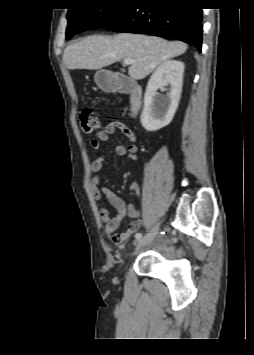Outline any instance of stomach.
I'll return each mask as SVG.
<instances>
[{"mask_svg":"<svg viewBox=\"0 0 254 355\" xmlns=\"http://www.w3.org/2000/svg\"><path fill=\"white\" fill-rule=\"evenodd\" d=\"M95 81L99 86H101V87L105 86V83L102 80H100V72H97L95 74Z\"/></svg>","mask_w":254,"mask_h":355,"instance_id":"obj_1","label":"stomach"}]
</instances>
